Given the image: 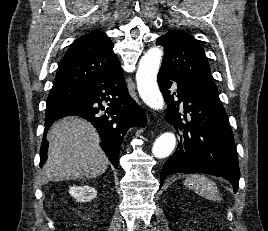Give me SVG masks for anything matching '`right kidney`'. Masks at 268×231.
I'll use <instances>...</instances> for the list:
<instances>
[{
    "label": "right kidney",
    "mask_w": 268,
    "mask_h": 231,
    "mask_svg": "<svg viewBox=\"0 0 268 231\" xmlns=\"http://www.w3.org/2000/svg\"><path fill=\"white\" fill-rule=\"evenodd\" d=\"M69 193L78 202H90L97 195V191L95 190V188L88 186V185H86V186H75V185L71 186L69 188Z\"/></svg>",
    "instance_id": "right-kidney-1"
}]
</instances>
